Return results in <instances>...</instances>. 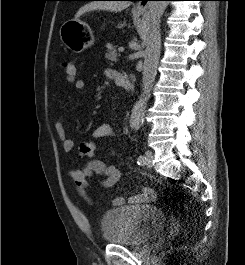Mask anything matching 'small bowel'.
<instances>
[{
    "label": "small bowel",
    "instance_id": "1",
    "mask_svg": "<svg viewBox=\"0 0 245 265\" xmlns=\"http://www.w3.org/2000/svg\"><path fill=\"white\" fill-rule=\"evenodd\" d=\"M118 72L115 70H107L108 77L113 78ZM75 88L78 91H83L87 88V84L84 80H78L75 83ZM55 130L58 138L62 143L63 150L65 152H72L75 148V142L69 138L66 134L64 121L62 118L58 119L55 124ZM114 130L110 124L103 123L95 127L93 130V137L96 139H103L113 136ZM69 177L73 180L75 189L78 195L88 204H95L89 193V179L93 176H101V186L109 188L114 186L121 178L120 170L114 166L107 164L99 159H92L86 162L81 167H72L68 170ZM157 198L156 192L150 187H141L140 193L131 196L128 199L130 204H142L155 201ZM123 197H116L113 199L112 204L114 207H121L125 204Z\"/></svg>",
    "mask_w": 245,
    "mask_h": 265
}]
</instances>
